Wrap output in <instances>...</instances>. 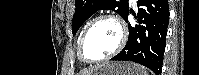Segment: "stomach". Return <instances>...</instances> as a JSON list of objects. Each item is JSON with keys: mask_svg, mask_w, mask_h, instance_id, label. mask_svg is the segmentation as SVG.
<instances>
[{"mask_svg": "<svg viewBox=\"0 0 199 75\" xmlns=\"http://www.w3.org/2000/svg\"><path fill=\"white\" fill-rule=\"evenodd\" d=\"M145 70L131 62H110L97 67L91 75H144Z\"/></svg>", "mask_w": 199, "mask_h": 75, "instance_id": "1", "label": "stomach"}]
</instances>
